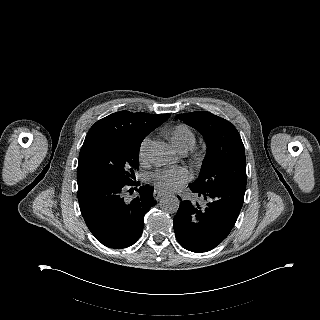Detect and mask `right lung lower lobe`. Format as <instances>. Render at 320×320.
Segmentation results:
<instances>
[{"instance_id":"1","label":"right lung lower lobe","mask_w":320,"mask_h":320,"mask_svg":"<svg viewBox=\"0 0 320 320\" xmlns=\"http://www.w3.org/2000/svg\"><path fill=\"white\" fill-rule=\"evenodd\" d=\"M77 183L82 216L98 241L121 249L139 239L144 216L156 204L152 187L141 186L139 196L128 202L124 193L138 182L124 183L97 173H78Z\"/></svg>"}]
</instances>
